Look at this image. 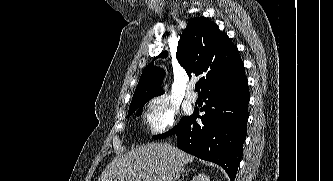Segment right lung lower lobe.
<instances>
[{"instance_id": "obj_1", "label": "right lung lower lobe", "mask_w": 333, "mask_h": 181, "mask_svg": "<svg viewBox=\"0 0 333 181\" xmlns=\"http://www.w3.org/2000/svg\"><path fill=\"white\" fill-rule=\"evenodd\" d=\"M205 115L185 116L173 134L178 148L225 169L234 180L247 134L249 90L244 74L202 92ZM199 117L202 123H197Z\"/></svg>"}]
</instances>
